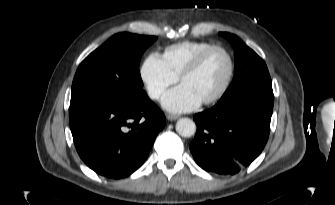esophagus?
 <instances>
[{
    "label": "esophagus",
    "instance_id": "obj_1",
    "mask_svg": "<svg viewBox=\"0 0 335 205\" xmlns=\"http://www.w3.org/2000/svg\"><path fill=\"white\" fill-rule=\"evenodd\" d=\"M166 118H167L169 121H174V120H177L179 117H178L177 115L167 114V115H166Z\"/></svg>",
    "mask_w": 335,
    "mask_h": 205
}]
</instances>
